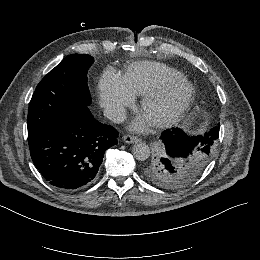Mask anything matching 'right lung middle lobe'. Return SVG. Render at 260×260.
I'll use <instances>...</instances> for the list:
<instances>
[{"instance_id":"obj_1","label":"right lung middle lobe","mask_w":260,"mask_h":260,"mask_svg":"<svg viewBox=\"0 0 260 260\" xmlns=\"http://www.w3.org/2000/svg\"><path fill=\"white\" fill-rule=\"evenodd\" d=\"M93 62L90 55H68L41 80L28 109V137L90 105L87 71Z\"/></svg>"}]
</instances>
